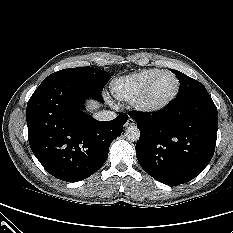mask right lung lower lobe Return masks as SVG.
Instances as JSON below:
<instances>
[{
    "mask_svg": "<svg viewBox=\"0 0 233 233\" xmlns=\"http://www.w3.org/2000/svg\"><path fill=\"white\" fill-rule=\"evenodd\" d=\"M102 102L101 92L74 81H61L35 91L27 104L30 147L52 176L83 180L106 161L111 142L122 133L125 113L98 121L85 113L84 100Z\"/></svg>",
    "mask_w": 233,
    "mask_h": 233,
    "instance_id": "1",
    "label": "right lung lower lobe"
}]
</instances>
